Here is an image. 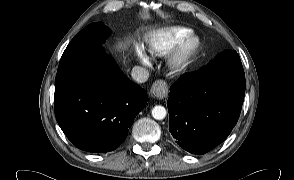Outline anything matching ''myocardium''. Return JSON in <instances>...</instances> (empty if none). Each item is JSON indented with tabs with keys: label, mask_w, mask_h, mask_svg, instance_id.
<instances>
[{
	"label": "myocardium",
	"mask_w": 294,
	"mask_h": 180,
	"mask_svg": "<svg viewBox=\"0 0 294 180\" xmlns=\"http://www.w3.org/2000/svg\"><path fill=\"white\" fill-rule=\"evenodd\" d=\"M201 48V41L195 35L185 37L170 53L167 67L173 74L185 72Z\"/></svg>",
	"instance_id": "obj_1"
}]
</instances>
